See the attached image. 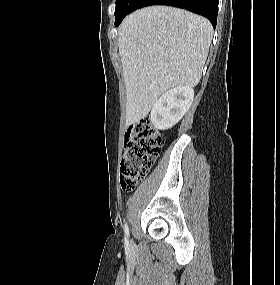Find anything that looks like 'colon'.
<instances>
[{
	"label": "colon",
	"mask_w": 280,
	"mask_h": 285,
	"mask_svg": "<svg viewBox=\"0 0 280 285\" xmlns=\"http://www.w3.org/2000/svg\"><path fill=\"white\" fill-rule=\"evenodd\" d=\"M162 135L148 119L133 123L125 134V150L120 166V186L130 192L146 176L163 146Z\"/></svg>",
	"instance_id": "obj_1"
}]
</instances>
